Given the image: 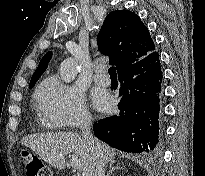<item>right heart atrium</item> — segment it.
Returning <instances> with one entry per match:
<instances>
[{"label": "right heart atrium", "mask_w": 205, "mask_h": 176, "mask_svg": "<svg viewBox=\"0 0 205 176\" xmlns=\"http://www.w3.org/2000/svg\"><path fill=\"white\" fill-rule=\"evenodd\" d=\"M36 100L45 124L51 129L79 127L90 120L83 94L64 84L57 76L42 82L36 92Z\"/></svg>", "instance_id": "1"}]
</instances>
